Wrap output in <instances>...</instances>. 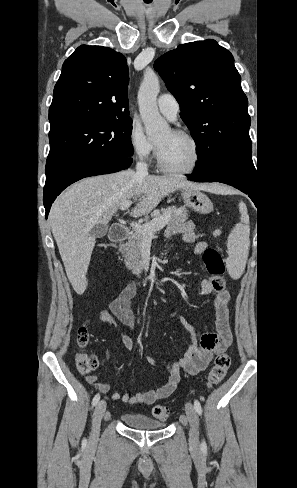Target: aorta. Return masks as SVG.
<instances>
[{
	"label": "aorta",
	"mask_w": 297,
	"mask_h": 488,
	"mask_svg": "<svg viewBox=\"0 0 297 488\" xmlns=\"http://www.w3.org/2000/svg\"><path fill=\"white\" fill-rule=\"evenodd\" d=\"M159 91L160 84L157 75L152 71L146 72L138 91V104L146 134L149 136H157L169 127L158 111L156 99Z\"/></svg>",
	"instance_id": "762f6f07"
}]
</instances>
